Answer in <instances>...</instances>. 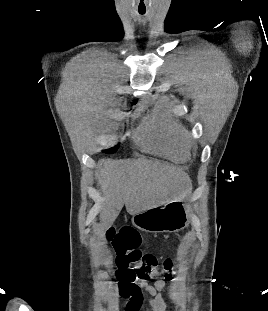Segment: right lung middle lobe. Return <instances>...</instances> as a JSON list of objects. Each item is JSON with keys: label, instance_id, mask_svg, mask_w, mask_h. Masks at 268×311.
Segmentation results:
<instances>
[{"label": "right lung middle lobe", "instance_id": "obj_1", "mask_svg": "<svg viewBox=\"0 0 268 311\" xmlns=\"http://www.w3.org/2000/svg\"><path fill=\"white\" fill-rule=\"evenodd\" d=\"M118 147H119V146L116 145L115 147H113V148H111V149H109V150H104L103 152H105V153H114V152L117 151Z\"/></svg>", "mask_w": 268, "mask_h": 311}]
</instances>
